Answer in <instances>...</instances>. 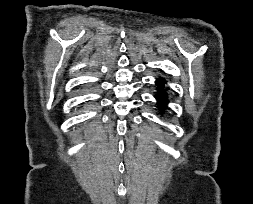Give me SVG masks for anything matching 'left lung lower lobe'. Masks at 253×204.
I'll use <instances>...</instances> for the list:
<instances>
[{"label": "left lung lower lobe", "instance_id": "left-lung-lower-lobe-1", "mask_svg": "<svg viewBox=\"0 0 253 204\" xmlns=\"http://www.w3.org/2000/svg\"><path fill=\"white\" fill-rule=\"evenodd\" d=\"M165 83L166 81L163 78H159L156 81L157 91H158V94L156 95V99H157V105L159 109L161 110V112H164V109L166 108V105L168 103L166 90H168L169 88H165Z\"/></svg>", "mask_w": 253, "mask_h": 204}]
</instances>
